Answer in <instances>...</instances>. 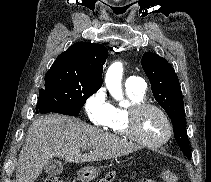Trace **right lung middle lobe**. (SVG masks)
I'll use <instances>...</instances> for the list:
<instances>
[{
    "instance_id": "dd1d6c3e",
    "label": "right lung middle lobe",
    "mask_w": 211,
    "mask_h": 182,
    "mask_svg": "<svg viewBox=\"0 0 211 182\" xmlns=\"http://www.w3.org/2000/svg\"><path fill=\"white\" fill-rule=\"evenodd\" d=\"M100 85L82 81L62 70H49L45 87L39 90V100L51 99L71 115H78L86 100Z\"/></svg>"
}]
</instances>
